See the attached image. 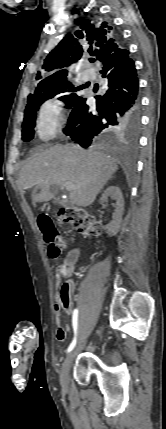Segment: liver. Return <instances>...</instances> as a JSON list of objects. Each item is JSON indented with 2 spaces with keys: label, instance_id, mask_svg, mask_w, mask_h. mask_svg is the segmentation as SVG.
<instances>
[{
  "label": "liver",
  "instance_id": "liver-1",
  "mask_svg": "<svg viewBox=\"0 0 166 429\" xmlns=\"http://www.w3.org/2000/svg\"><path fill=\"white\" fill-rule=\"evenodd\" d=\"M111 156L97 151H85L77 146L56 145L31 157L22 167L18 188L21 193L34 186L40 193L34 202H47L54 197L51 186L70 182V203L91 205L103 186L117 171Z\"/></svg>",
  "mask_w": 166,
  "mask_h": 429
}]
</instances>
